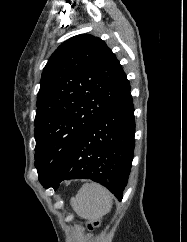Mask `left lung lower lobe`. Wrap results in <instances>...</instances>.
Returning a JSON list of instances; mask_svg holds the SVG:
<instances>
[{
    "instance_id": "0a47b994",
    "label": "left lung lower lobe",
    "mask_w": 187,
    "mask_h": 242,
    "mask_svg": "<svg viewBox=\"0 0 187 242\" xmlns=\"http://www.w3.org/2000/svg\"><path fill=\"white\" fill-rule=\"evenodd\" d=\"M134 135V106L129 90L89 126L60 165L39 176V181L45 188L56 190L63 180L91 179L121 200L132 166Z\"/></svg>"
}]
</instances>
